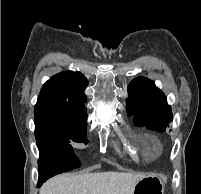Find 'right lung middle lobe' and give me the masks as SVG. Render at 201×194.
<instances>
[{"instance_id":"dd1d6c3e","label":"right lung middle lobe","mask_w":201,"mask_h":194,"mask_svg":"<svg viewBox=\"0 0 201 194\" xmlns=\"http://www.w3.org/2000/svg\"><path fill=\"white\" fill-rule=\"evenodd\" d=\"M35 137L38 148L53 146L68 151L70 155L56 166L55 174L80 166L70 142H84L86 138V119L70 116L58 105L37 106L34 110ZM53 174V175H55Z\"/></svg>"}]
</instances>
